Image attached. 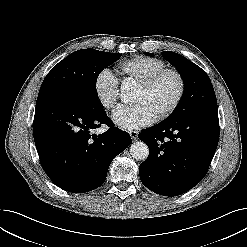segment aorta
<instances>
[{"label":"aorta","instance_id":"1","mask_svg":"<svg viewBox=\"0 0 247 247\" xmlns=\"http://www.w3.org/2000/svg\"><path fill=\"white\" fill-rule=\"evenodd\" d=\"M130 88L127 85H123L121 87V99L123 102H128L131 98ZM130 153L132 157L136 160H146L149 155V148L148 146L142 142L137 141L131 144L130 146Z\"/></svg>","mask_w":247,"mask_h":247}]
</instances>
